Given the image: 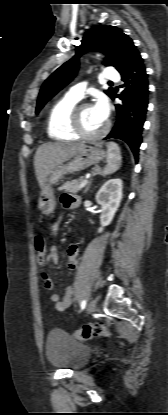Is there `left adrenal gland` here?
Wrapping results in <instances>:
<instances>
[{
  "instance_id": "obj_1",
  "label": "left adrenal gland",
  "mask_w": 168,
  "mask_h": 415,
  "mask_svg": "<svg viewBox=\"0 0 168 415\" xmlns=\"http://www.w3.org/2000/svg\"><path fill=\"white\" fill-rule=\"evenodd\" d=\"M99 174H102V170H101V168H100L99 166H96V167L94 168V171H93L92 177H94V176H96V175H99ZM91 183H92V178H91V179H90V181L88 182V184H87V186H86V188H85V190H84V193H87V192H88V190H89V188H90V186H91Z\"/></svg>"
}]
</instances>
